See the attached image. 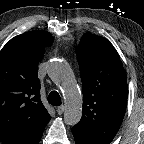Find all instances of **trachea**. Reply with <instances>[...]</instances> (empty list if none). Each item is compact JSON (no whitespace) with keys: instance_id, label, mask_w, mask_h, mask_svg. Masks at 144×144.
<instances>
[{"instance_id":"trachea-1","label":"trachea","mask_w":144,"mask_h":144,"mask_svg":"<svg viewBox=\"0 0 144 144\" xmlns=\"http://www.w3.org/2000/svg\"><path fill=\"white\" fill-rule=\"evenodd\" d=\"M48 102L53 106L61 105V98L57 91H51L48 96Z\"/></svg>"}]
</instances>
